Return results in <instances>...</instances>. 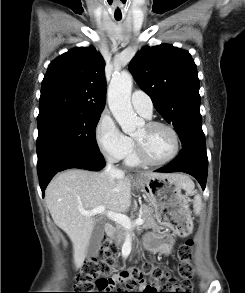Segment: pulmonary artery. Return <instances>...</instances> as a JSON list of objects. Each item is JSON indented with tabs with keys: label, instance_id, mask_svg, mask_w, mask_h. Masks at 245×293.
I'll return each mask as SVG.
<instances>
[{
	"label": "pulmonary artery",
	"instance_id": "obj_1",
	"mask_svg": "<svg viewBox=\"0 0 245 293\" xmlns=\"http://www.w3.org/2000/svg\"><path fill=\"white\" fill-rule=\"evenodd\" d=\"M131 103L135 111L145 118H150L152 115L153 103L150 96L141 91L136 90L131 96Z\"/></svg>",
	"mask_w": 245,
	"mask_h": 293
}]
</instances>
